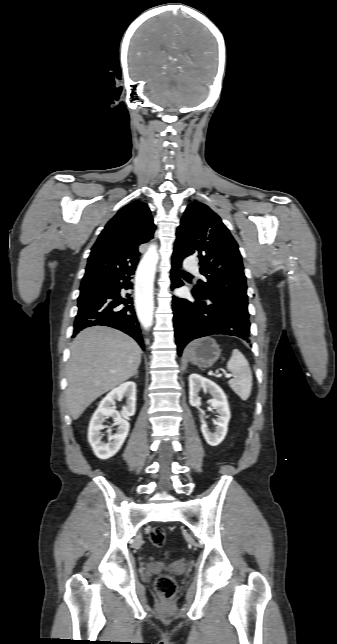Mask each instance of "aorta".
I'll use <instances>...</instances> for the list:
<instances>
[{
	"label": "aorta",
	"mask_w": 337,
	"mask_h": 644,
	"mask_svg": "<svg viewBox=\"0 0 337 644\" xmlns=\"http://www.w3.org/2000/svg\"><path fill=\"white\" fill-rule=\"evenodd\" d=\"M158 259L156 250H149L140 262L135 277V305L145 329L153 323V279Z\"/></svg>",
	"instance_id": "762f6f07"
}]
</instances>
